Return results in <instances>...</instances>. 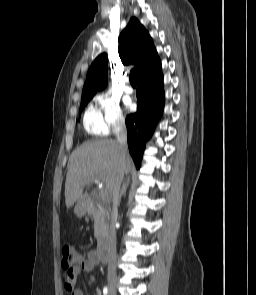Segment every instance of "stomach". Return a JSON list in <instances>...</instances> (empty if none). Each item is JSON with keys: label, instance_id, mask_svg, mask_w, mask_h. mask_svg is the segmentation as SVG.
I'll use <instances>...</instances> for the list:
<instances>
[{"label": "stomach", "instance_id": "stomach-1", "mask_svg": "<svg viewBox=\"0 0 256 295\" xmlns=\"http://www.w3.org/2000/svg\"><path fill=\"white\" fill-rule=\"evenodd\" d=\"M87 212L86 207L82 203H78L74 208V213L77 217H83Z\"/></svg>", "mask_w": 256, "mask_h": 295}]
</instances>
